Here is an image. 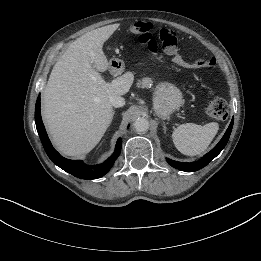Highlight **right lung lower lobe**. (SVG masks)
Returning <instances> with one entry per match:
<instances>
[{"instance_id": "1", "label": "right lung lower lobe", "mask_w": 261, "mask_h": 261, "mask_svg": "<svg viewBox=\"0 0 261 261\" xmlns=\"http://www.w3.org/2000/svg\"><path fill=\"white\" fill-rule=\"evenodd\" d=\"M35 122L38 134L40 136L43 147L52 160L54 164L59 166L61 169L66 172L74 175L75 177L82 179H97L104 176L110 168L113 166L115 159L119 156L121 147H122V139L119 138L116 144L115 152L111 157H109L104 163L97 166H88L85 165L80 160H69L63 158L51 145L50 140L45 131L41 114H40V96H38L35 106ZM91 168H95V171H91Z\"/></svg>"}]
</instances>
